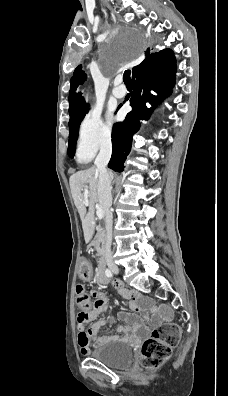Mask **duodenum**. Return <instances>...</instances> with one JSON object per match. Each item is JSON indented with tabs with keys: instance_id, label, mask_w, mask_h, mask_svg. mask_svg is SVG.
I'll list each match as a JSON object with an SVG mask.
<instances>
[{
	"instance_id": "obj_1",
	"label": "duodenum",
	"mask_w": 228,
	"mask_h": 396,
	"mask_svg": "<svg viewBox=\"0 0 228 396\" xmlns=\"http://www.w3.org/2000/svg\"><path fill=\"white\" fill-rule=\"evenodd\" d=\"M98 275L100 278H103V252L102 250L99 251L98 254Z\"/></svg>"
}]
</instances>
